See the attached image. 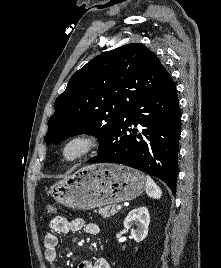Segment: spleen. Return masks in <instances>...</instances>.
<instances>
[{
  "mask_svg": "<svg viewBox=\"0 0 221 268\" xmlns=\"http://www.w3.org/2000/svg\"><path fill=\"white\" fill-rule=\"evenodd\" d=\"M146 193L149 197L154 199H159L162 196L161 189L156 185L150 176H147L146 179Z\"/></svg>",
  "mask_w": 221,
  "mask_h": 268,
  "instance_id": "1",
  "label": "spleen"
}]
</instances>
